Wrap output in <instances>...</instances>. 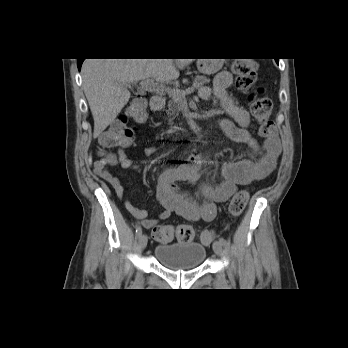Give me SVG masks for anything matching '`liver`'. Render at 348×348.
<instances>
[{
	"label": "liver",
	"instance_id": "6515ba94",
	"mask_svg": "<svg viewBox=\"0 0 348 348\" xmlns=\"http://www.w3.org/2000/svg\"><path fill=\"white\" fill-rule=\"evenodd\" d=\"M194 59H86L82 65L85 96L94 119L93 137L111 124L130 99L128 85L145 79L169 83L178 68Z\"/></svg>",
	"mask_w": 348,
	"mask_h": 348
}]
</instances>
